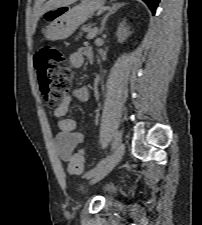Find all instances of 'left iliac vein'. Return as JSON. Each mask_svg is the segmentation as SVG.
Here are the masks:
<instances>
[{
    "instance_id": "1",
    "label": "left iliac vein",
    "mask_w": 202,
    "mask_h": 225,
    "mask_svg": "<svg viewBox=\"0 0 202 225\" xmlns=\"http://www.w3.org/2000/svg\"><path fill=\"white\" fill-rule=\"evenodd\" d=\"M125 152V146L123 143H120L115 151L113 152L111 159L108 161V164L104 167L103 171L95 177L93 180L94 182L101 180L104 178L108 173L112 171V169L119 163L122 159Z\"/></svg>"
}]
</instances>
